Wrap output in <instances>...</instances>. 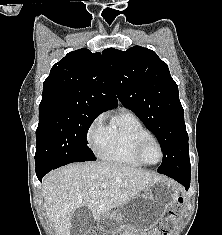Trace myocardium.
<instances>
[{
    "instance_id": "1",
    "label": "myocardium",
    "mask_w": 222,
    "mask_h": 235,
    "mask_svg": "<svg viewBox=\"0 0 222 235\" xmlns=\"http://www.w3.org/2000/svg\"><path fill=\"white\" fill-rule=\"evenodd\" d=\"M150 142L155 143L158 146L159 151H160V158L155 163H149L144 158V149ZM135 156L143 165L155 166V165H158L159 163H161L162 160L164 159V149H163V146L160 143V141L156 137L151 135V136L143 137L138 141V143L136 144V147H135Z\"/></svg>"
}]
</instances>
